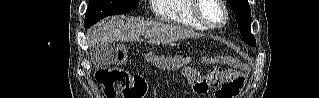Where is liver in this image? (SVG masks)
I'll list each match as a JSON object with an SVG mask.
<instances>
[{
  "label": "liver",
  "mask_w": 319,
  "mask_h": 98,
  "mask_svg": "<svg viewBox=\"0 0 319 98\" xmlns=\"http://www.w3.org/2000/svg\"><path fill=\"white\" fill-rule=\"evenodd\" d=\"M87 35L90 48L99 44L110 45L117 41H141V36L148 38V42L155 45L200 36L182 26L133 19L125 21L120 18L97 23L88 31Z\"/></svg>",
  "instance_id": "6515ba94"
}]
</instances>
